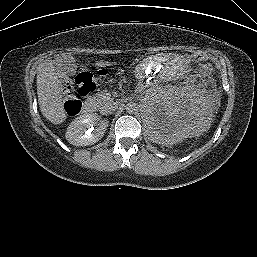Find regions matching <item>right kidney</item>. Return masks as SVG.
<instances>
[{
    "label": "right kidney",
    "instance_id": "1",
    "mask_svg": "<svg viewBox=\"0 0 257 257\" xmlns=\"http://www.w3.org/2000/svg\"><path fill=\"white\" fill-rule=\"evenodd\" d=\"M96 123L94 114H84L77 117L67 128L65 137L67 141L75 146H88L98 142L108 127V121L100 122L99 127L93 130Z\"/></svg>",
    "mask_w": 257,
    "mask_h": 257
}]
</instances>
